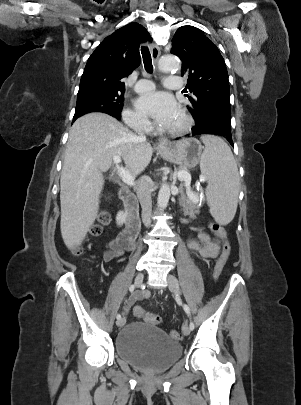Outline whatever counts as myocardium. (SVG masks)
<instances>
[{
	"mask_svg": "<svg viewBox=\"0 0 301 405\" xmlns=\"http://www.w3.org/2000/svg\"><path fill=\"white\" fill-rule=\"evenodd\" d=\"M180 118H181V123L179 126H177L175 128H164V129H162V132L164 134H167V135L173 136V137L182 136V135L188 133L189 130L192 128L193 119L188 114H185V113H182Z\"/></svg>",
	"mask_w": 301,
	"mask_h": 405,
	"instance_id": "1",
	"label": "myocardium"
}]
</instances>
